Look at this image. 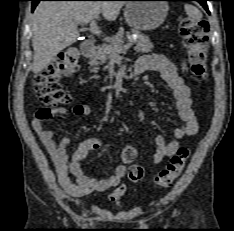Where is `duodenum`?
<instances>
[{"label":"duodenum","mask_w":234,"mask_h":231,"mask_svg":"<svg viewBox=\"0 0 234 231\" xmlns=\"http://www.w3.org/2000/svg\"><path fill=\"white\" fill-rule=\"evenodd\" d=\"M95 51H96V43L92 40L86 41L81 47L82 55L86 58L92 57ZM143 70L144 69L142 67L136 65L133 72L134 76L139 75L140 73L143 72Z\"/></svg>","instance_id":"obj_1"}]
</instances>
